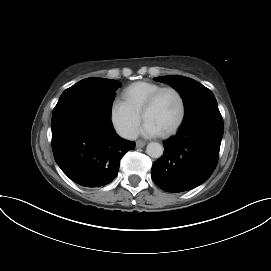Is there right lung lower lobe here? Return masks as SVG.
<instances>
[{
  "instance_id": "1",
  "label": "right lung lower lobe",
  "mask_w": 271,
  "mask_h": 271,
  "mask_svg": "<svg viewBox=\"0 0 271 271\" xmlns=\"http://www.w3.org/2000/svg\"><path fill=\"white\" fill-rule=\"evenodd\" d=\"M56 163L75 183L85 187L109 184L119 161L135 143L118 137L104 110L69 115L51 122Z\"/></svg>"
}]
</instances>
